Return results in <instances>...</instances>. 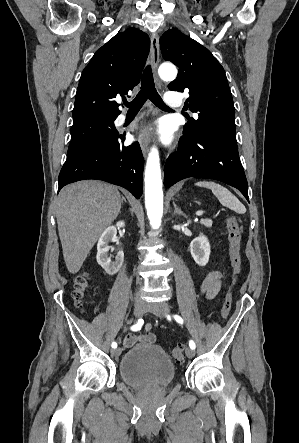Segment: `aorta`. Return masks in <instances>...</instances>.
<instances>
[{
  "label": "aorta",
  "instance_id": "obj_1",
  "mask_svg": "<svg viewBox=\"0 0 299 443\" xmlns=\"http://www.w3.org/2000/svg\"><path fill=\"white\" fill-rule=\"evenodd\" d=\"M158 74L165 81L174 80L177 69L172 64H162ZM145 206L152 229L161 226L163 215V190L161 179L160 158L157 149L153 148L148 155L145 167Z\"/></svg>",
  "mask_w": 299,
  "mask_h": 443
}]
</instances>
